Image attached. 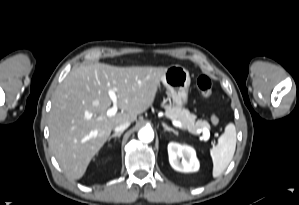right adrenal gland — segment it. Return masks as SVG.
I'll list each match as a JSON object with an SVG mask.
<instances>
[{
    "mask_svg": "<svg viewBox=\"0 0 299 205\" xmlns=\"http://www.w3.org/2000/svg\"><path fill=\"white\" fill-rule=\"evenodd\" d=\"M122 133H123V132L114 133L113 135H111V136L109 137L108 141L110 142V140H111L112 138H114V137H117V138L119 139Z\"/></svg>",
    "mask_w": 299,
    "mask_h": 205,
    "instance_id": "obj_1",
    "label": "right adrenal gland"
}]
</instances>
